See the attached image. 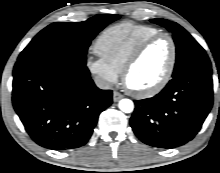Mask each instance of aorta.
I'll list each match as a JSON object with an SVG mask.
<instances>
[{
	"label": "aorta",
	"mask_w": 220,
	"mask_h": 173,
	"mask_svg": "<svg viewBox=\"0 0 220 173\" xmlns=\"http://www.w3.org/2000/svg\"><path fill=\"white\" fill-rule=\"evenodd\" d=\"M119 109L124 113H131L134 109V104L130 99H122L119 102Z\"/></svg>",
	"instance_id": "1"
}]
</instances>
